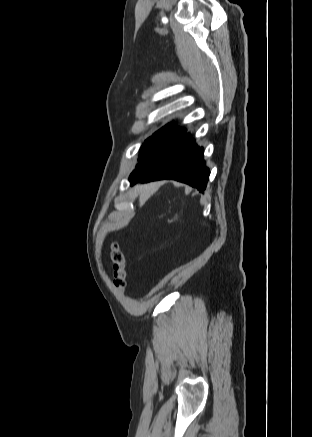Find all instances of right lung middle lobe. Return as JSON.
<instances>
[{"label": "right lung middle lobe", "instance_id": "dd1d6c3e", "mask_svg": "<svg viewBox=\"0 0 312 437\" xmlns=\"http://www.w3.org/2000/svg\"><path fill=\"white\" fill-rule=\"evenodd\" d=\"M185 133L184 129H178L171 124L166 125L148 138L140 149V153H145L153 149L161 148L180 137Z\"/></svg>", "mask_w": 312, "mask_h": 437}]
</instances>
